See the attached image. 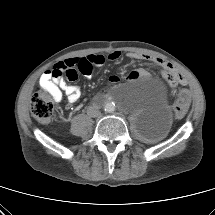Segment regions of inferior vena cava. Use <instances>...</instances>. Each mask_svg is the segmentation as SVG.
Segmentation results:
<instances>
[{
    "mask_svg": "<svg viewBox=\"0 0 215 215\" xmlns=\"http://www.w3.org/2000/svg\"><path fill=\"white\" fill-rule=\"evenodd\" d=\"M87 114L90 116V117H99L101 115V112L99 111V109L95 106H89L87 108Z\"/></svg>",
    "mask_w": 215,
    "mask_h": 215,
    "instance_id": "602c4592",
    "label": "inferior vena cava"
}]
</instances>
